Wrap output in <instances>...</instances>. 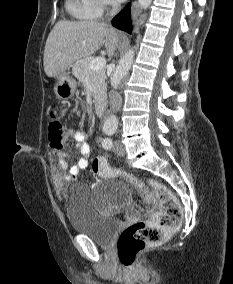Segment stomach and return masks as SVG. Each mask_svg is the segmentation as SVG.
Wrapping results in <instances>:
<instances>
[{"label": "stomach", "instance_id": "stomach-1", "mask_svg": "<svg viewBox=\"0 0 233 284\" xmlns=\"http://www.w3.org/2000/svg\"><path fill=\"white\" fill-rule=\"evenodd\" d=\"M56 83L54 92L60 99H69L74 95L76 90V81L70 75L69 69H66L55 76Z\"/></svg>", "mask_w": 233, "mask_h": 284}]
</instances>
